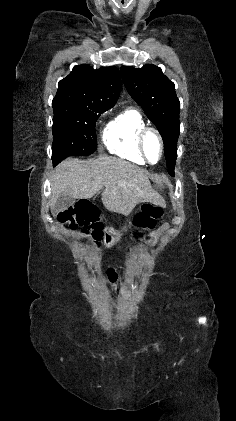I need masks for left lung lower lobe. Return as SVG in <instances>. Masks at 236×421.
Returning <instances> with one entry per match:
<instances>
[{
	"instance_id": "obj_1",
	"label": "left lung lower lobe",
	"mask_w": 236,
	"mask_h": 421,
	"mask_svg": "<svg viewBox=\"0 0 236 421\" xmlns=\"http://www.w3.org/2000/svg\"><path fill=\"white\" fill-rule=\"evenodd\" d=\"M167 167H168V173L171 176H174V167H175V165H172V164L167 163Z\"/></svg>"
}]
</instances>
